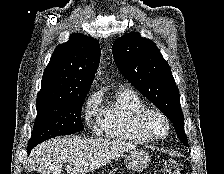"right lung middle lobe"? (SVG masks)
Listing matches in <instances>:
<instances>
[{"instance_id":"obj_1","label":"right lung middle lobe","mask_w":224,"mask_h":174,"mask_svg":"<svg viewBox=\"0 0 224 174\" xmlns=\"http://www.w3.org/2000/svg\"><path fill=\"white\" fill-rule=\"evenodd\" d=\"M85 96L37 98V117L28 147L36 146L52 137L83 130L81 111Z\"/></svg>"}]
</instances>
